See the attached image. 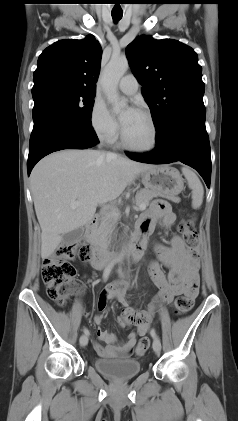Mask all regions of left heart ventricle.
Returning a JSON list of instances; mask_svg holds the SVG:
<instances>
[{
  "instance_id": "b2bd125f",
  "label": "left heart ventricle",
  "mask_w": 238,
  "mask_h": 421,
  "mask_svg": "<svg viewBox=\"0 0 238 421\" xmlns=\"http://www.w3.org/2000/svg\"><path fill=\"white\" fill-rule=\"evenodd\" d=\"M121 119H125L122 126L125 136L131 144L145 147L151 143L152 129L146 117L138 112L127 117V111H125L122 113Z\"/></svg>"
}]
</instances>
